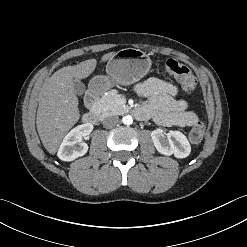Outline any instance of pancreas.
<instances>
[{
    "mask_svg": "<svg viewBox=\"0 0 247 247\" xmlns=\"http://www.w3.org/2000/svg\"><path fill=\"white\" fill-rule=\"evenodd\" d=\"M117 92L115 90L108 91L95 104V110L99 115H117L125 108L120 105L117 100Z\"/></svg>",
    "mask_w": 247,
    "mask_h": 247,
    "instance_id": "pancreas-1",
    "label": "pancreas"
}]
</instances>
